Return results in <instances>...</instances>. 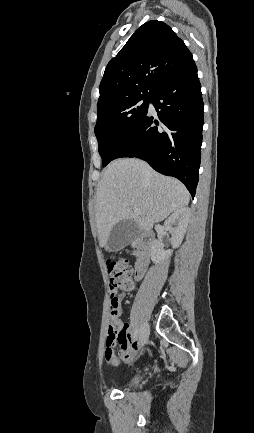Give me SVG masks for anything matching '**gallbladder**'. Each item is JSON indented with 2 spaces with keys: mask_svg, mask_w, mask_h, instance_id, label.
Segmentation results:
<instances>
[{
  "mask_svg": "<svg viewBox=\"0 0 254 433\" xmlns=\"http://www.w3.org/2000/svg\"><path fill=\"white\" fill-rule=\"evenodd\" d=\"M140 234L139 226L133 220H121L112 228L106 250L116 252L132 243Z\"/></svg>",
  "mask_w": 254,
  "mask_h": 433,
  "instance_id": "obj_1",
  "label": "gallbladder"
}]
</instances>
